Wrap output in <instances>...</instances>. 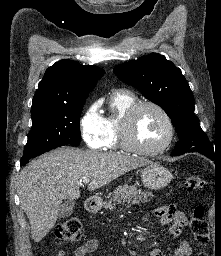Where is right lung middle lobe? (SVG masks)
<instances>
[{
    "label": "right lung middle lobe",
    "instance_id": "right-lung-middle-lobe-1",
    "mask_svg": "<svg viewBox=\"0 0 221 256\" xmlns=\"http://www.w3.org/2000/svg\"><path fill=\"white\" fill-rule=\"evenodd\" d=\"M85 101L31 111L32 129L24 148L21 164L30 158L64 145L78 146L81 142L80 114Z\"/></svg>",
    "mask_w": 221,
    "mask_h": 256
}]
</instances>
